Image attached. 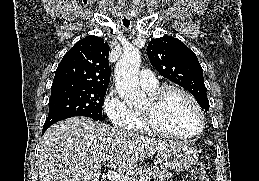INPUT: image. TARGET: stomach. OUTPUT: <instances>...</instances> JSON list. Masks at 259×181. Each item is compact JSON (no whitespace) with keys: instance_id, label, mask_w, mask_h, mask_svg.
<instances>
[{"instance_id":"stomach-1","label":"stomach","mask_w":259,"mask_h":181,"mask_svg":"<svg viewBox=\"0 0 259 181\" xmlns=\"http://www.w3.org/2000/svg\"><path fill=\"white\" fill-rule=\"evenodd\" d=\"M197 160V150L181 142H174L157 154V162L162 168L177 172L188 170Z\"/></svg>"}]
</instances>
